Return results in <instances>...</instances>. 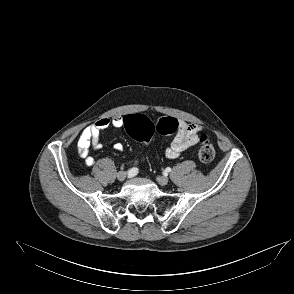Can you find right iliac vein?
Listing matches in <instances>:
<instances>
[{
	"instance_id": "63e3f726",
	"label": "right iliac vein",
	"mask_w": 294,
	"mask_h": 294,
	"mask_svg": "<svg viewBox=\"0 0 294 294\" xmlns=\"http://www.w3.org/2000/svg\"><path fill=\"white\" fill-rule=\"evenodd\" d=\"M125 178H126V172H124V171H120V172L117 173V179H118L119 181H124Z\"/></svg>"
}]
</instances>
